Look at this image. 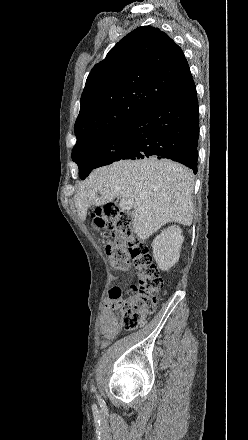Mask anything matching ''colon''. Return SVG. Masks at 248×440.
<instances>
[{"label": "colon", "mask_w": 248, "mask_h": 440, "mask_svg": "<svg viewBox=\"0 0 248 440\" xmlns=\"http://www.w3.org/2000/svg\"><path fill=\"white\" fill-rule=\"evenodd\" d=\"M101 221L102 229L110 237L106 252L114 269L124 271L133 267L138 284L125 294L120 286L108 291V301L121 312V325L132 330L145 324L147 317L154 313L159 294L164 287L162 278L152 265L151 256L131 226L130 215L115 204H107L93 215V227Z\"/></svg>", "instance_id": "1"}]
</instances>
